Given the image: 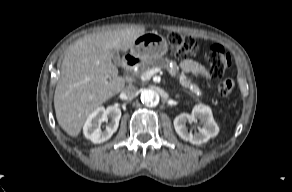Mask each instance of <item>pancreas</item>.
Masks as SVG:
<instances>
[{
  "label": "pancreas",
  "instance_id": "1",
  "mask_svg": "<svg viewBox=\"0 0 292 192\" xmlns=\"http://www.w3.org/2000/svg\"><path fill=\"white\" fill-rule=\"evenodd\" d=\"M172 64V67L170 66ZM154 68H164L167 69L169 74L172 77H177L179 79L180 84L189 89L191 95L198 99L201 96V91L196 84L191 83V81L186 77L185 74L179 73V67L177 66L176 62H172L166 58H159L152 61L142 63L141 67L137 71V75H142L144 72L154 69Z\"/></svg>",
  "mask_w": 292,
  "mask_h": 192
}]
</instances>
